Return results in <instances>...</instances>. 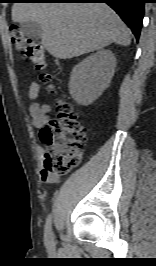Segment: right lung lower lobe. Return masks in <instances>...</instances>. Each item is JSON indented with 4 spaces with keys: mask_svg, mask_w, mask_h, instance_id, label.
<instances>
[{
    "mask_svg": "<svg viewBox=\"0 0 156 266\" xmlns=\"http://www.w3.org/2000/svg\"><path fill=\"white\" fill-rule=\"evenodd\" d=\"M63 3H107L130 27L136 40L139 39L145 0H36Z\"/></svg>",
    "mask_w": 156,
    "mask_h": 266,
    "instance_id": "right-lung-lower-lobe-1",
    "label": "right lung lower lobe"
}]
</instances>
